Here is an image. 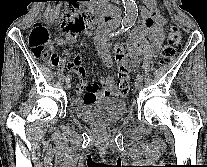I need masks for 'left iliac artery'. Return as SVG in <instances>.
<instances>
[{"instance_id": "1", "label": "left iliac artery", "mask_w": 207, "mask_h": 167, "mask_svg": "<svg viewBox=\"0 0 207 167\" xmlns=\"http://www.w3.org/2000/svg\"><path fill=\"white\" fill-rule=\"evenodd\" d=\"M136 78L142 80V75L141 74H137Z\"/></svg>"}]
</instances>
